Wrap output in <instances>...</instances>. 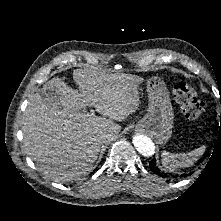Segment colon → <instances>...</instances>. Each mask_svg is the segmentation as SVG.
I'll return each mask as SVG.
<instances>
[{"mask_svg": "<svg viewBox=\"0 0 221 221\" xmlns=\"http://www.w3.org/2000/svg\"><path fill=\"white\" fill-rule=\"evenodd\" d=\"M174 95L186 118L196 120L203 115L205 105L197 97L195 90L190 85L178 82L174 88Z\"/></svg>", "mask_w": 221, "mask_h": 221, "instance_id": "1", "label": "colon"}]
</instances>
